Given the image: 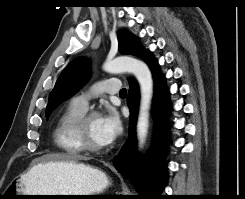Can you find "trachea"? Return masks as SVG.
Masks as SVG:
<instances>
[{"instance_id":"1","label":"trachea","mask_w":245,"mask_h":199,"mask_svg":"<svg viewBox=\"0 0 245 199\" xmlns=\"http://www.w3.org/2000/svg\"><path fill=\"white\" fill-rule=\"evenodd\" d=\"M126 94H127V90H126L125 88H123V89L120 90V92H119V95H120L121 97H125Z\"/></svg>"}]
</instances>
